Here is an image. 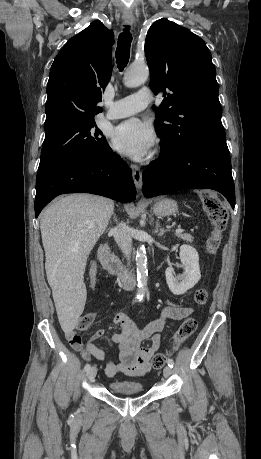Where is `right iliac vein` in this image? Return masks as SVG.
Here are the masks:
<instances>
[{
  "instance_id": "right-iliac-vein-1",
  "label": "right iliac vein",
  "mask_w": 261,
  "mask_h": 459,
  "mask_svg": "<svg viewBox=\"0 0 261 459\" xmlns=\"http://www.w3.org/2000/svg\"><path fill=\"white\" fill-rule=\"evenodd\" d=\"M96 374H97V369L95 367H91L86 373V378L88 380H93Z\"/></svg>"
}]
</instances>
